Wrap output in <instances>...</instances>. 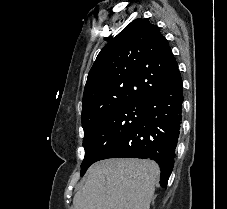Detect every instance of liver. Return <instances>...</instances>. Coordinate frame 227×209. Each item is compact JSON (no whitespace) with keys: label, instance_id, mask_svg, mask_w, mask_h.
Wrapping results in <instances>:
<instances>
[{"label":"liver","instance_id":"1","mask_svg":"<svg viewBox=\"0 0 227 209\" xmlns=\"http://www.w3.org/2000/svg\"><path fill=\"white\" fill-rule=\"evenodd\" d=\"M159 167L154 161L106 159L91 165L74 209H150Z\"/></svg>","mask_w":227,"mask_h":209}]
</instances>
